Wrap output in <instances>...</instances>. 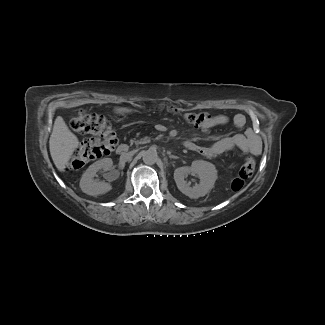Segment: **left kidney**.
<instances>
[{
	"label": "left kidney",
	"instance_id": "obj_1",
	"mask_svg": "<svg viewBox=\"0 0 325 325\" xmlns=\"http://www.w3.org/2000/svg\"><path fill=\"white\" fill-rule=\"evenodd\" d=\"M190 173L197 174L200 179L199 184L193 187L185 181V178ZM217 177L215 166L204 160H195L190 167H179L174 171V180L178 189L192 199H197L209 193L214 187Z\"/></svg>",
	"mask_w": 325,
	"mask_h": 325
}]
</instances>
